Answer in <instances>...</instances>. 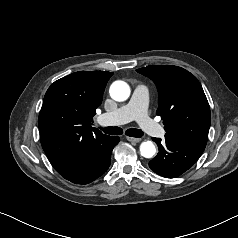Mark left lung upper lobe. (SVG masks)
Returning a JSON list of instances; mask_svg holds the SVG:
<instances>
[{"instance_id": "obj_1", "label": "left lung upper lobe", "mask_w": 238, "mask_h": 238, "mask_svg": "<svg viewBox=\"0 0 238 238\" xmlns=\"http://www.w3.org/2000/svg\"><path fill=\"white\" fill-rule=\"evenodd\" d=\"M157 86L158 109L165 136L205 147L211 123L210 107L197 78L172 65H150L136 70Z\"/></svg>"}]
</instances>
